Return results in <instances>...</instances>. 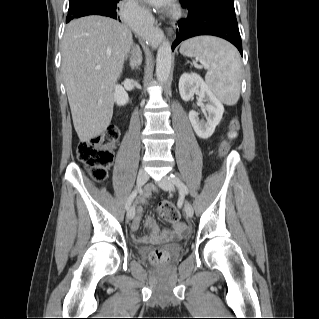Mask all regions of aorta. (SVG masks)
<instances>
[{"instance_id":"762f6f07","label":"aorta","mask_w":319,"mask_h":319,"mask_svg":"<svg viewBox=\"0 0 319 319\" xmlns=\"http://www.w3.org/2000/svg\"><path fill=\"white\" fill-rule=\"evenodd\" d=\"M141 18L144 31L149 30L151 28L150 19L145 15H141ZM171 62V46L168 41H164L158 49L156 59V77L160 83H165L168 80L171 71Z\"/></svg>"}]
</instances>
